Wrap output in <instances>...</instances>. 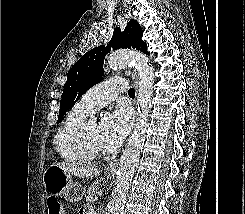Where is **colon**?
Here are the masks:
<instances>
[{"label":"colon","mask_w":245,"mask_h":214,"mask_svg":"<svg viewBox=\"0 0 245 214\" xmlns=\"http://www.w3.org/2000/svg\"><path fill=\"white\" fill-rule=\"evenodd\" d=\"M49 214H61L60 204L56 199L48 200Z\"/></svg>","instance_id":"obj_1"}]
</instances>
